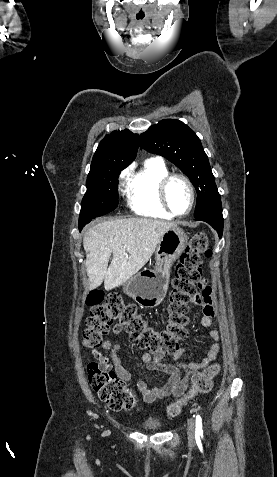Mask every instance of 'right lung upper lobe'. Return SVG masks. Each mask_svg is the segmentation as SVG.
Here are the masks:
<instances>
[{
  "mask_svg": "<svg viewBox=\"0 0 277 477\" xmlns=\"http://www.w3.org/2000/svg\"><path fill=\"white\" fill-rule=\"evenodd\" d=\"M138 134L128 129L113 131L100 142L91 163L89 173L114 167H127L136 157Z\"/></svg>",
  "mask_w": 277,
  "mask_h": 477,
  "instance_id": "1",
  "label": "right lung upper lobe"
}]
</instances>
